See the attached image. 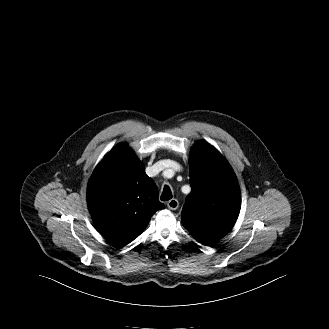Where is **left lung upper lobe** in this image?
<instances>
[{
    "instance_id": "left-lung-upper-lobe-1",
    "label": "left lung upper lobe",
    "mask_w": 329,
    "mask_h": 329,
    "mask_svg": "<svg viewBox=\"0 0 329 329\" xmlns=\"http://www.w3.org/2000/svg\"><path fill=\"white\" fill-rule=\"evenodd\" d=\"M189 165L192 191L181 219L197 241L211 245L224 237L237 220L239 185L226 159L206 141L192 148Z\"/></svg>"
}]
</instances>
